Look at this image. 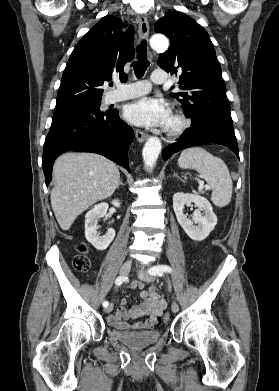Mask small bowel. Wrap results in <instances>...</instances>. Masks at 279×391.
<instances>
[{"instance_id":"c3829d8e","label":"small bowel","mask_w":279,"mask_h":391,"mask_svg":"<svg viewBox=\"0 0 279 391\" xmlns=\"http://www.w3.org/2000/svg\"><path fill=\"white\" fill-rule=\"evenodd\" d=\"M132 288L141 290L144 303L127 309L126 299H121L115 313L108 316V322L116 329H152L161 324V317L167 307V302L160 297L154 287L144 288L140 281H134ZM144 318L142 322L128 323L131 319Z\"/></svg>"}]
</instances>
